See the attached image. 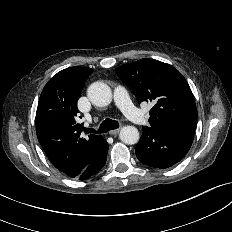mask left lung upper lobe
Here are the masks:
<instances>
[{
  "label": "left lung upper lobe",
  "instance_id": "5c2ea615",
  "mask_svg": "<svg viewBox=\"0 0 232 232\" xmlns=\"http://www.w3.org/2000/svg\"><path fill=\"white\" fill-rule=\"evenodd\" d=\"M116 73L133 91L139 103L151 101L149 123L152 128L195 131L197 108L191 89L174 67L143 58L118 67Z\"/></svg>",
  "mask_w": 232,
  "mask_h": 232
}]
</instances>
